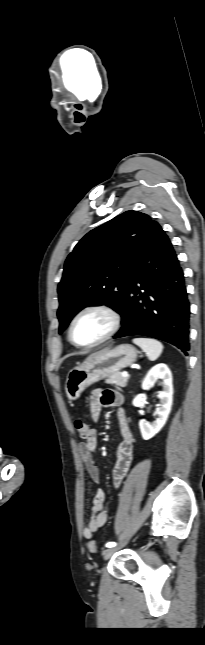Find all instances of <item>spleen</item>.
Listing matches in <instances>:
<instances>
[{
    "label": "spleen",
    "mask_w": 205,
    "mask_h": 645,
    "mask_svg": "<svg viewBox=\"0 0 205 645\" xmlns=\"http://www.w3.org/2000/svg\"><path fill=\"white\" fill-rule=\"evenodd\" d=\"M133 343L139 346L151 361H155L163 351L162 343L152 338H134Z\"/></svg>",
    "instance_id": "obj_1"
}]
</instances>
